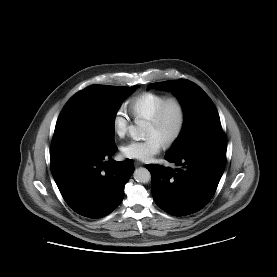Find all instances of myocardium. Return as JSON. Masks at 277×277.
<instances>
[{
  "instance_id": "myocardium-1",
  "label": "myocardium",
  "mask_w": 277,
  "mask_h": 277,
  "mask_svg": "<svg viewBox=\"0 0 277 277\" xmlns=\"http://www.w3.org/2000/svg\"><path fill=\"white\" fill-rule=\"evenodd\" d=\"M172 104H174L178 109L179 120L175 131L164 142V147L166 148L173 146L180 139L184 132L187 121V111L184 102L176 96L168 97L161 103L154 115L148 119L149 123L155 126L160 125L164 119L167 108Z\"/></svg>"
}]
</instances>
